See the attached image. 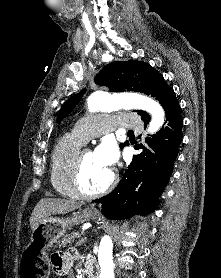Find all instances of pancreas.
I'll list each match as a JSON object with an SVG mask.
<instances>
[{
    "label": "pancreas",
    "instance_id": "pancreas-1",
    "mask_svg": "<svg viewBox=\"0 0 221 278\" xmlns=\"http://www.w3.org/2000/svg\"><path fill=\"white\" fill-rule=\"evenodd\" d=\"M77 236H78L77 233H73L71 235L66 234L62 237L61 240L58 241L57 245L61 247L67 244H71ZM77 245H80V243L78 242Z\"/></svg>",
    "mask_w": 221,
    "mask_h": 278
}]
</instances>
